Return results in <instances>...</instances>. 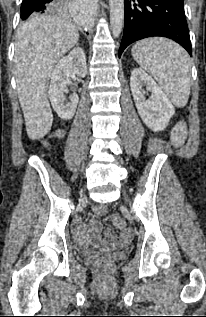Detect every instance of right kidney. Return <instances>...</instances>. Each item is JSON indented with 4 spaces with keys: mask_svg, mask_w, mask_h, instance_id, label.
<instances>
[{
    "mask_svg": "<svg viewBox=\"0 0 206 317\" xmlns=\"http://www.w3.org/2000/svg\"><path fill=\"white\" fill-rule=\"evenodd\" d=\"M86 73V55L82 48H74L56 64L51 74L48 93L52 107L61 119L70 120L74 116L79 100L75 93L71 94L68 100L64 95L68 92L70 77L75 74L84 77Z\"/></svg>",
    "mask_w": 206,
    "mask_h": 317,
    "instance_id": "1",
    "label": "right kidney"
}]
</instances>
